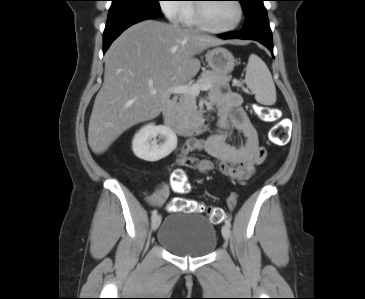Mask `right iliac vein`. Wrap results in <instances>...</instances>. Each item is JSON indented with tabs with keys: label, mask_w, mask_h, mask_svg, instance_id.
<instances>
[{
	"label": "right iliac vein",
	"mask_w": 365,
	"mask_h": 299,
	"mask_svg": "<svg viewBox=\"0 0 365 299\" xmlns=\"http://www.w3.org/2000/svg\"><path fill=\"white\" fill-rule=\"evenodd\" d=\"M160 223H161V216L160 215H155L152 219V229L154 231L157 230Z\"/></svg>",
	"instance_id": "63e3f726"
}]
</instances>
